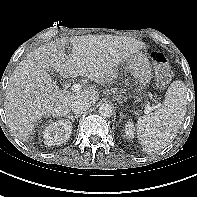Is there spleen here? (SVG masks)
<instances>
[{
  "mask_svg": "<svg viewBox=\"0 0 197 197\" xmlns=\"http://www.w3.org/2000/svg\"><path fill=\"white\" fill-rule=\"evenodd\" d=\"M186 93L184 82L174 81L162 105L138 119L137 138L146 153L158 152L173 141L186 114Z\"/></svg>",
  "mask_w": 197,
  "mask_h": 197,
  "instance_id": "spleen-1",
  "label": "spleen"
}]
</instances>
